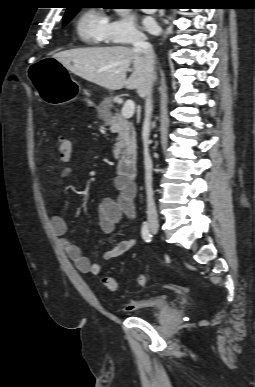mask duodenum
<instances>
[{"label":"duodenum","instance_id":"1","mask_svg":"<svg viewBox=\"0 0 255 387\" xmlns=\"http://www.w3.org/2000/svg\"><path fill=\"white\" fill-rule=\"evenodd\" d=\"M117 170L124 180L132 183L138 174L136 158L133 156L122 158L117 165Z\"/></svg>","mask_w":255,"mask_h":387}]
</instances>
